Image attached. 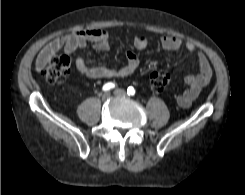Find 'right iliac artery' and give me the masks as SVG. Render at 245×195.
Instances as JSON below:
<instances>
[{"mask_svg":"<svg viewBox=\"0 0 245 195\" xmlns=\"http://www.w3.org/2000/svg\"><path fill=\"white\" fill-rule=\"evenodd\" d=\"M115 87V84L112 82H108L103 86V91H109Z\"/></svg>","mask_w":245,"mask_h":195,"instance_id":"1","label":"right iliac artery"}]
</instances>
